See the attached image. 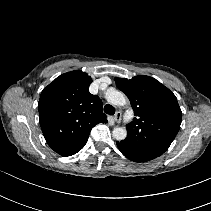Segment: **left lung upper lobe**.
<instances>
[{
    "mask_svg": "<svg viewBox=\"0 0 211 211\" xmlns=\"http://www.w3.org/2000/svg\"><path fill=\"white\" fill-rule=\"evenodd\" d=\"M116 86L130 100L135 118L127 126L120 149L137 162L162 155L177 135L182 112L176 96L153 77L115 78Z\"/></svg>",
    "mask_w": 211,
    "mask_h": 211,
    "instance_id": "5c2ea615",
    "label": "left lung upper lobe"
}]
</instances>
